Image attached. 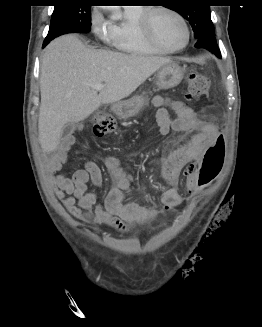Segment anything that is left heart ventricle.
I'll return each instance as SVG.
<instances>
[{
	"label": "left heart ventricle",
	"mask_w": 262,
	"mask_h": 327,
	"mask_svg": "<svg viewBox=\"0 0 262 327\" xmlns=\"http://www.w3.org/2000/svg\"><path fill=\"white\" fill-rule=\"evenodd\" d=\"M152 27L157 39L168 48H178L186 40L184 25L171 13L155 12L152 17Z\"/></svg>",
	"instance_id": "1"
}]
</instances>
